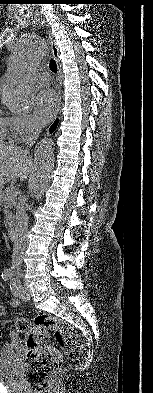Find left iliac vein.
Returning a JSON list of instances; mask_svg holds the SVG:
<instances>
[{"instance_id":"1","label":"left iliac vein","mask_w":153,"mask_h":393,"mask_svg":"<svg viewBox=\"0 0 153 393\" xmlns=\"http://www.w3.org/2000/svg\"><path fill=\"white\" fill-rule=\"evenodd\" d=\"M17 287H18V289H16L15 296H18L20 298H26L29 296V290L25 284L18 285Z\"/></svg>"}]
</instances>
